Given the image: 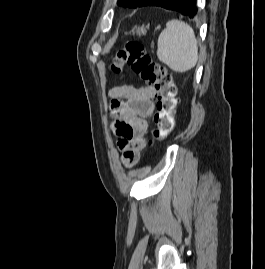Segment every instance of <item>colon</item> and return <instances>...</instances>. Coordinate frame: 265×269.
Listing matches in <instances>:
<instances>
[{"label": "colon", "instance_id": "colon-1", "mask_svg": "<svg viewBox=\"0 0 265 269\" xmlns=\"http://www.w3.org/2000/svg\"><path fill=\"white\" fill-rule=\"evenodd\" d=\"M128 66L139 79L154 87L156 110L153 116L155 128L154 141L167 138L175 125V109L177 105V89L168 70L155 62L145 51L140 42L129 41L120 48L111 64L113 74L119 75ZM116 133L128 139L134 136V130L125 122H119Z\"/></svg>", "mask_w": 265, "mask_h": 269}]
</instances>
